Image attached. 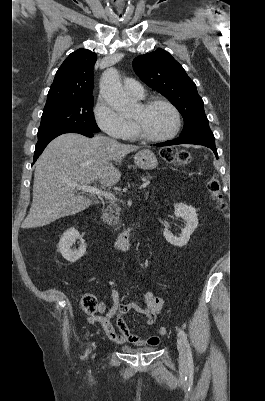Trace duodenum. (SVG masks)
<instances>
[{"label":"duodenum","mask_w":265,"mask_h":401,"mask_svg":"<svg viewBox=\"0 0 265 401\" xmlns=\"http://www.w3.org/2000/svg\"><path fill=\"white\" fill-rule=\"evenodd\" d=\"M140 228V223L137 222L132 228L128 231L121 234L119 237L113 240V245L116 249L125 251L130 248L132 245L135 232H137Z\"/></svg>","instance_id":"duodenum-1"}]
</instances>
